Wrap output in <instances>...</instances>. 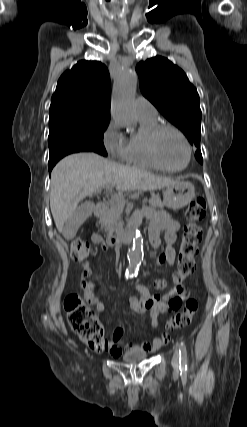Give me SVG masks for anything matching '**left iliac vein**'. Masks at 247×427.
<instances>
[{
	"label": "left iliac vein",
	"instance_id": "4c4485c4",
	"mask_svg": "<svg viewBox=\"0 0 247 427\" xmlns=\"http://www.w3.org/2000/svg\"><path fill=\"white\" fill-rule=\"evenodd\" d=\"M172 365L175 369H178L179 367V353L177 349H175V352L173 354Z\"/></svg>",
	"mask_w": 247,
	"mask_h": 427
}]
</instances>
